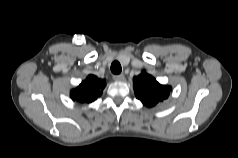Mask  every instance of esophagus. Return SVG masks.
<instances>
[{
	"label": "esophagus",
	"instance_id": "esophagus-1",
	"mask_svg": "<svg viewBox=\"0 0 238 158\" xmlns=\"http://www.w3.org/2000/svg\"><path fill=\"white\" fill-rule=\"evenodd\" d=\"M113 79L115 81H123L125 79L124 75L123 74H118V75H114L113 76Z\"/></svg>",
	"mask_w": 238,
	"mask_h": 158
}]
</instances>
